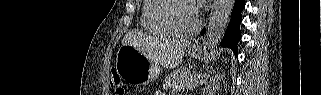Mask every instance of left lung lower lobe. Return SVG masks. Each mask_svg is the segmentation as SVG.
<instances>
[{
    "mask_svg": "<svg viewBox=\"0 0 321 95\" xmlns=\"http://www.w3.org/2000/svg\"><path fill=\"white\" fill-rule=\"evenodd\" d=\"M245 7L244 0H236L233 10L230 23L225 32L224 38L221 42V46L228 47L233 50V52L237 55L238 48L237 44L241 38L240 34V23L242 21L241 12ZM205 28L202 30L201 35H204Z\"/></svg>",
    "mask_w": 321,
    "mask_h": 95,
    "instance_id": "0a47b994",
    "label": "left lung lower lobe"
}]
</instances>
